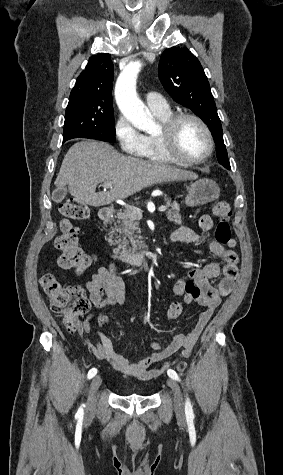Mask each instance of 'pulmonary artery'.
<instances>
[{
  "label": "pulmonary artery",
  "instance_id": "e3ab8cb5",
  "mask_svg": "<svg viewBox=\"0 0 283 475\" xmlns=\"http://www.w3.org/2000/svg\"><path fill=\"white\" fill-rule=\"evenodd\" d=\"M116 90H135V89H116ZM145 102L151 111L167 109L168 103L161 94L149 92L145 95Z\"/></svg>",
  "mask_w": 283,
  "mask_h": 475
}]
</instances>
